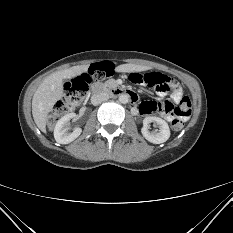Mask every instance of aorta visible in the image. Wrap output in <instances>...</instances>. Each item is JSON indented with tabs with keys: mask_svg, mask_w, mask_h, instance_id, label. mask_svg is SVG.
<instances>
[{
	"mask_svg": "<svg viewBox=\"0 0 233 233\" xmlns=\"http://www.w3.org/2000/svg\"><path fill=\"white\" fill-rule=\"evenodd\" d=\"M129 101V95L128 94H121L119 96V102L122 104H126Z\"/></svg>",
	"mask_w": 233,
	"mask_h": 233,
	"instance_id": "obj_1",
	"label": "aorta"
}]
</instances>
